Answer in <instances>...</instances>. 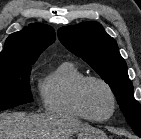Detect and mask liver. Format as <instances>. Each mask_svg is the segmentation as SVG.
Returning a JSON list of instances; mask_svg holds the SVG:
<instances>
[{
  "label": "liver",
  "instance_id": "liver-1",
  "mask_svg": "<svg viewBox=\"0 0 141 139\" xmlns=\"http://www.w3.org/2000/svg\"><path fill=\"white\" fill-rule=\"evenodd\" d=\"M89 127L62 113L0 114V139H69L75 132Z\"/></svg>",
  "mask_w": 141,
  "mask_h": 139
}]
</instances>
